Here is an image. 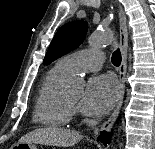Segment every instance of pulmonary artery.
Here are the masks:
<instances>
[{
  "label": "pulmonary artery",
  "mask_w": 155,
  "mask_h": 149,
  "mask_svg": "<svg viewBox=\"0 0 155 149\" xmlns=\"http://www.w3.org/2000/svg\"><path fill=\"white\" fill-rule=\"evenodd\" d=\"M104 54L99 50L86 49L61 58L57 65L68 75L98 70L104 63Z\"/></svg>",
  "instance_id": "e3ab8cb5"
}]
</instances>
